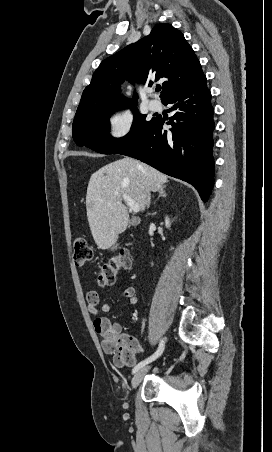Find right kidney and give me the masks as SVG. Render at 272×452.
<instances>
[{
    "instance_id": "ca27d5eb",
    "label": "right kidney",
    "mask_w": 272,
    "mask_h": 452,
    "mask_svg": "<svg viewBox=\"0 0 272 452\" xmlns=\"http://www.w3.org/2000/svg\"><path fill=\"white\" fill-rule=\"evenodd\" d=\"M165 225H166L167 228L170 227V221H169L168 217H166V219H165Z\"/></svg>"
}]
</instances>
